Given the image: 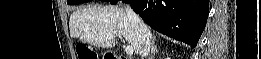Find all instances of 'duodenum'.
<instances>
[{"instance_id": "duodenum-1", "label": "duodenum", "mask_w": 261, "mask_h": 59, "mask_svg": "<svg viewBox=\"0 0 261 59\" xmlns=\"http://www.w3.org/2000/svg\"><path fill=\"white\" fill-rule=\"evenodd\" d=\"M110 59H128V57H125V56H121V55H118V54H114V53H110Z\"/></svg>"}]
</instances>
